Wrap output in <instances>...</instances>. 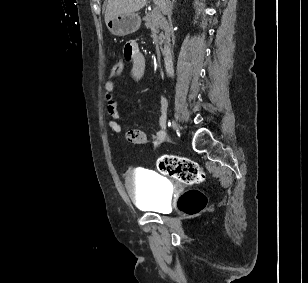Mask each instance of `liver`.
Instances as JSON below:
<instances>
[{"label": "liver", "mask_w": 308, "mask_h": 283, "mask_svg": "<svg viewBox=\"0 0 308 283\" xmlns=\"http://www.w3.org/2000/svg\"><path fill=\"white\" fill-rule=\"evenodd\" d=\"M168 0H153L155 4L163 5ZM147 3V0H108L106 12H105V23L117 15L132 14L142 9Z\"/></svg>", "instance_id": "6515ba94"}]
</instances>
